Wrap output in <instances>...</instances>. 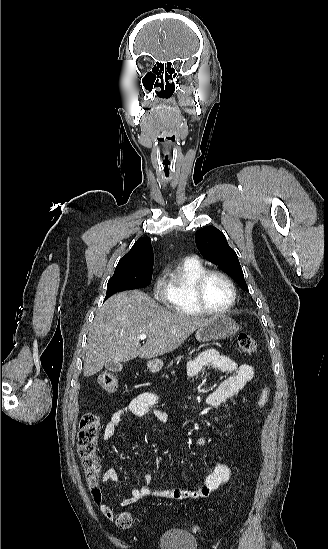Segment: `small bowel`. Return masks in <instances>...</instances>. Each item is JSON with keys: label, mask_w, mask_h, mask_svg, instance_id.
Segmentation results:
<instances>
[{"label": "small bowel", "mask_w": 328, "mask_h": 549, "mask_svg": "<svg viewBox=\"0 0 328 549\" xmlns=\"http://www.w3.org/2000/svg\"><path fill=\"white\" fill-rule=\"evenodd\" d=\"M211 368L216 371L229 373L230 376L220 383L206 398L207 405L214 411L229 397L243 390L254 377V369L248 364H239L231 357L222 354L214 349H208L200 353L197 357L190 360L187 364V373L190 376H197L204 368ZM159 396L154 392H143L133 398L126 406L113 412L104 427L103 439H111L117 431L120 423L128 416L138 418L153 417L163 424L167 423V417L163 411L157 408ZM215 420H218L217 415ZM208 441L205 437H199L196 445L199 447L207 446ZM232 476L230 466L226 464H217L205 476L203 482L195 488H166L153 491L151 485L155 481L153 473H146L143 476L144 485L131 490L130 495L121 501L122 506L135 504L144 497L156 493L158 496L175 500H195L207 498L211 493L217 491L222 485L227 483ZM118 480V474L115 469H108L102 476L103 483L115 484ZM105 516L112 518L114 512L106 503H98Z\"/></svg>", "instance_id": "small-bowel-1"}]
</instances>
